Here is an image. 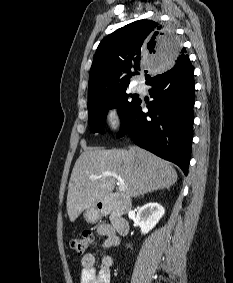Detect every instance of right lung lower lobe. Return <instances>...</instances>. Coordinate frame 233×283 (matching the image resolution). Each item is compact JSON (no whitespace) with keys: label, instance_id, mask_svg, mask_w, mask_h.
I'll use <instances>...</instances> for the list:
<instances>
[{"label":"right lung lower lobe","instance_id":"obj_1","mask_svg":"<svg viewBox=\"0 0 233 283\" xmlns=\"http://www.w3.org/2000/svg\"><path fill=\"white\" fill-rule=\"evenodd\" d=\"M154 98L142 112L139 100L123 121L117 137L128 134L140 147L177 164L188 174L191 156L194 69L188 55L146 83Z\"/></svg>","mask_w":233,"mask_h":283}]
</instances>
